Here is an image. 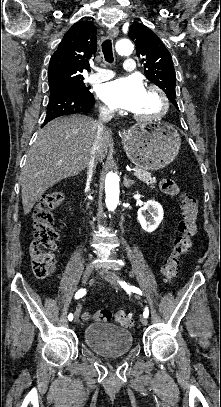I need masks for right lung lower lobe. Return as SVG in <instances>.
<instances>
[{
	"label": "right lung lower lobe",
	"instance_id": "98d812e1",
	"mask_svg": "<svg viewBox=\"0 0 221 407\" xmlns=\"http://www.w3.org/2000/svg\"><path fill=\"white\" fill-rule=\"evenodd\" d=\"M94 103L95 99L93 94L79 95L67 93L50 97L47 115L43 125L63 115L87 112L93 108Z\"/></svg>",
	"mask_w": 221,
	"mask_h": 407
}]
</instances>
